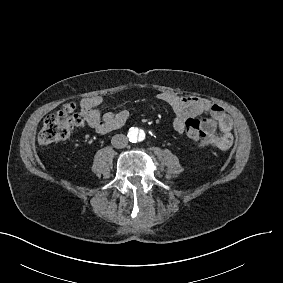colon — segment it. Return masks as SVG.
<instances>
[{
	"label": "colon",
	"instance_id": "colon-1",
	"mask_svg": "<svg viewBox=\"0 0 283 283\" xmlns=\"http://www.w3.org/2000/svg\"><path fill=\"white\" fill-rule=\"evenodd\" d=\"M186 123V135L191 137L194 146H199L200 140L205 137V132L200 128V121L188 116ZM83 125L84 119L78 110L75 107H65L46 117L38 135V142L40 145L62 142L71 136L73 130Z\"/></svg>",
	"mask_w": 283,
	"mask_h": 283
}]
</instances>
